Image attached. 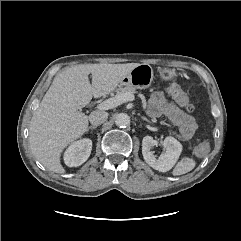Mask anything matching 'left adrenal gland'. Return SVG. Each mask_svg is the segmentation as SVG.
I'll use <instances>...</instances> for the list:
<instances>
[{"instance_id":"a2214340","label":"left adrenal gland","mask_w":241,"mask_h":241,"mask_svg":"<svg viewBox=\"0 0 241 241\" xmlns=\"http://www.w3.org/2000/svg\"><path fill=\"white\" fill-rule=\"evenodd\" d=\"M141 119L151 123V121L149 119H147L146 117H141Z\"/></svg>"}]
</instances>
